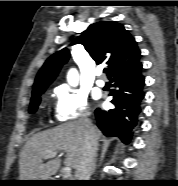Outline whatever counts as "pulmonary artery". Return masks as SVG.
Instances as JSON below:
<instances>
[{
  "instance_id": "e3ab8cb5",
  "label": "pulmonary artery",
  "mask_w": 178,
  "mask_h": 186,
  "mask_svg": "<svg viewBox=\"0 0 178 186\" xmlns=\"http://www.w3.org/2000/svg\"><path fill=\"white\" fill-rule=\"evenodd\" d=\"M98 79L96 80V84L100 87L105 85V81L101 78V72L97 73Z\"/></svg>"
}]
</instances>
